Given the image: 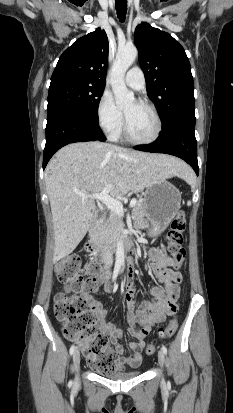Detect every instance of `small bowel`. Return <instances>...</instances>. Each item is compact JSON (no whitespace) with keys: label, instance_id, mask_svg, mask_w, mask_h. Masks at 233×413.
<instances>
[{"label":"small bowel","instance_id":"c3829d8e","mask_svg":"<svg viewBox=\"0 0 233 413\" xmlns=\"http://www.w3.org/2000/svg\"><path fill=\"white\" fill-rule=\"evenodd\" d=\"M139 227H144V222L138 223ZM151 259L150 269L156 277L163 283L164 288L155 287L150 290L152 301L137 302L134 300L135 290L130 278L123 293L127 319L130 324L128 333L136 339L129 343L132 350L130 356L125 355V348L119 343L123 331L116 325L107 320V311L100 302L96 301L91 293H85L84 298L94 314L101 332L108 336L114 346L116 355V365L118 368H136L142 362V352L145 347L144 338L150 332L152 326L162 322L167 315L174 313L170 308H176L179 299V284L182 280L180 273H174L170 267L173 260L165 253L162 248H153L149 252ZM103 286L105 291H110L111 287L107 284L106 278H98L93 290H98Z\"/></svg>","mask_w":233,"mask_h":413}]
</instances>
